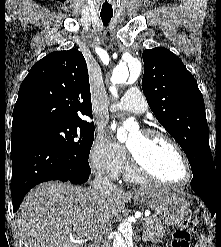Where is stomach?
I'll list each match as a JSON object with an SVG mask.
<instances>
[{"label": "stomach", "mask_w": 221, "mask_h": 247, "mask_svg": "<svg viewBox=\"0 0 221 247\" xmlns=\"http://www.w3.org/2000/svg\"><path fill=\"white\" fill-rule=\"evenodd\" d=\"M135 199L154 210L160 221L167 225L180 224L190 213L189 203L185 198L175 193H165L155 198L136 194Z\"/></svg>", "instance_id": "obj_1"}]
</instances>
